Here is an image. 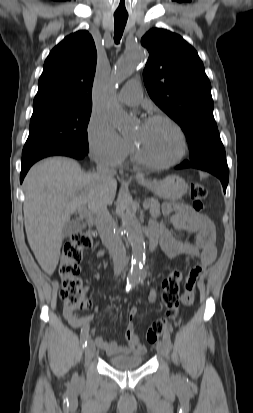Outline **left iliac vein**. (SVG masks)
Returning a JSON list of instances; mask_svg holds the SVG:
<instances>
[{"mask_svg":"<svg viewBox=\"0 0 253 413\" xmlns=\"http://www.w3.org/2000/svg\"><path fill=\"white\" fill-rule=\"evenodd\" d=\"M156 350L159 355L165 359H169V347H167L164 342H158L156 345Z\"/></svg>","mask_w":253,"mask_h":413,"instance_id":"1","label":"left iliac vein"}]
</instances>
